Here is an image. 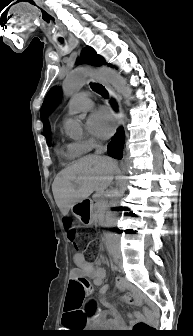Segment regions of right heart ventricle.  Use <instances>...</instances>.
<instances>
[{
	"instance_id": "e07e8e85",
	"label": "right heart ventricle",
	"mask_w": 193,
	"mask_h": 336,
	"mask_svg": "<svg viewBox=\"0 0 193 336\" xmlns=\"http://www.w3.org/2000/svg\"><path fill=\"white\" fill-rule=\"evenodd\" d=\"M58 154L67 161H73L79 158L83 152L77 143H68L58 148Z\"/></svg>"
}]
</instances>
